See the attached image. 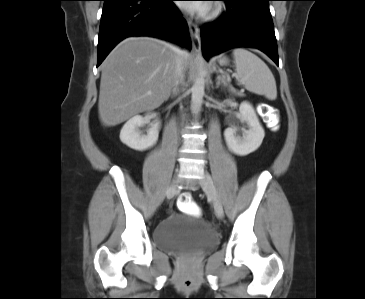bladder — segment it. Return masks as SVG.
<instances>
[{"label": "bladder", "mask_w": 365, "mask_h": 299, "mask_svg": "<svg viewBox=\"0 0 365 299\" xmlns=\"http://www.w3.org/2000/svg\"><path fill=\"white\" fill-rule=\"evenodd\" d=\"M153 241L164 252L186 254L214 249L218 238L203 218L186 213L173 214L160 221L153 230Z\"/></svg>", "instance_id": "bladder-1"}]
</instances>
